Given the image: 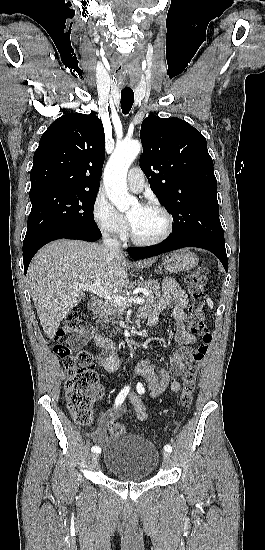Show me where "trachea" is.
Returning a JSON list of instances; mask_svg holds the SVG:
<instances>
[{
  "label": "trachea",
  "instance_id": "3493384b",
  "mask_svg": "<svg viewBox=\"0 0 265 550\" xmlns=\"http://www.w3.org/2000/svg\"><path fill=\"white\" fill-rule=\"evenodd\" d=\"M134 102V93L132 91L121 92V109L123 114H128Z\"/></svg>",
  "mask_w": 265,
  "mask_h": 550
}]
</instances>
